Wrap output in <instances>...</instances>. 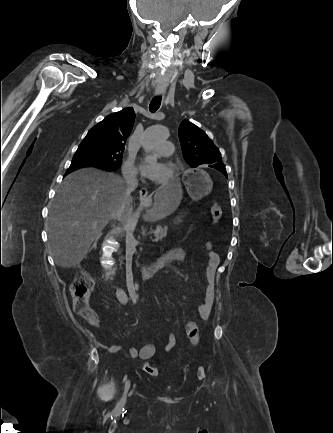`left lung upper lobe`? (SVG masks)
<instances>
[{"mask_svg":"<svg viewBox=\"0 0 333 433\" xmlns=\"http://www.w3.org/2000/svg\"><path fill=\"white\" fill-rule=\"evenodd\" d=\"M179 139L187 163L195 168L203 164L219 165L227 176L219 149L207 134L193 123L184 120L179 127Z\"/></svg>","mask_w":333,"mask_h":433,"instance_id":"1","label":"left lung upper lobe"}]
</instances>
